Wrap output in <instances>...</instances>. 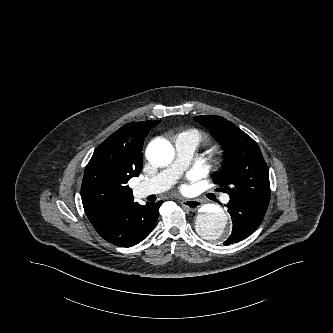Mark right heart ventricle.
<instances>
[{
  "instance_id": "obj_1",
  "label": "right heart ventricle",
  "mask_w": 333,
  "mask_h": 333,
  "mask_svg": "<svg viewBox=\"0 0 333 333\" xmlns=\"http://www.w3.org/2000/svg\"><path fill=\"white\" fill-rule=\"evenodd\" d=\"M182 134L191 135V136L195 137L198 141L202 139L201 134H199L195 131H186V132H183Z\"/></svg>"
}]
</instances>
